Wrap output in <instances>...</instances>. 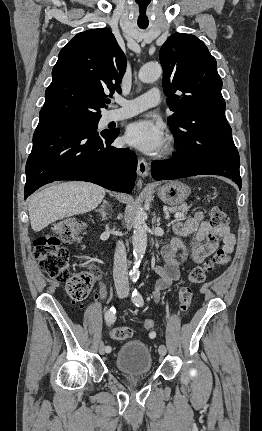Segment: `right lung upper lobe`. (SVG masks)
Wrapping results in <instances>:
<instances>
[{
    "instance_id": "right-lung-upper-lobe-1",
    "label": "right lung upper lobe",
    "mask_w": 262,
    "mask_h": 431,
    "mask_svg": "<svg viewBox=\"0 0 262 431\" xmlns=\"http://www.w3.org/2000/svg\"><path fill=\"white\" fill-rule=\"evenodd\" d=\"M125 70L126 57L110 29L77 34L61 49L53 67L40 121L101 117L107 94L121 92Z\"/></svg>"
}]
</instances>
